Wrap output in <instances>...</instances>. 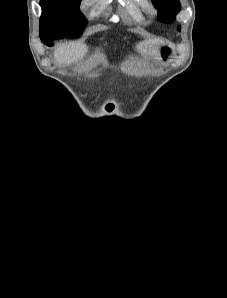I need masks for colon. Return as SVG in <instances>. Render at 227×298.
I'll return each instance as SVG.
<instances>
[{"label":"colon","mask_w":227,"mask_h":298,"mask_svg":"<svg viewBox=\"0 0 227 298\" xmlns=\"http://www.w3.org/2000/svg\"><path fill=\"white\" fill-rule=\"evenodd\" d=\"M168 53H169V49H168V48H164V49H163V55H164V56H167Z\"/></svg>","instance_id":"1"}]
</instances>
